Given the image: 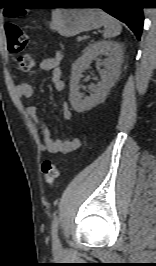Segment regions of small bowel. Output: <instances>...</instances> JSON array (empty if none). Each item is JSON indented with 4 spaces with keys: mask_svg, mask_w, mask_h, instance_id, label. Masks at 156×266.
Listing matches in <instances>:
<instances>
[{
    "mask_svg": "<svg viewBox=\"0 0 156 266\" xmlns=\"http://www.w3.org/2000/svg\"><path fill=\"white\" fill-rule=\"evenodd\" d=\"M61 61V55L57 54L54 57L44 59L38 67V70L41 71H51L52 86L58 93H62L65 89V83L61 77L60 71ZM35 74L36 70H31L28 72V77H33ZM16 94L20 99H30L33 96V88L29 83H20L16 87ZM26 111L27 115L41 127L43 143L40 147L42 151L48 153L71 154L80 148L81 141L78 138L69 137L61 139L52 137L49 128L41 119L36 106H28ZM62 116L63 119L67 121L72 118L71 109L66 102L62 104Z\"/></svg>",
    "mask_w": 156,
    "mask_h": 266,
    "instance_id": "c3829d8e",
    "label": "small bowel"
}]
</instances>
